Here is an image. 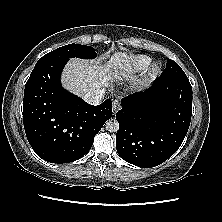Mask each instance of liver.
I'll return each mask as SVG.
<instances>
[{"label": "liver", "instance_id": "obj_1", "mask_svg": "<svg viewBox=\"0 0 222 222\" xmlns=\"http://www.w3.org/2000/svg\"><path fill=\"white\" fill-rule=\"evenodd\" d=\"M131 57L116 52L102 65L99 60L70 59L62 72V85L70 92L83 97L92 90L107 86L115 78L128 77L132 72Z\"/></svg>", "mask_w": 222, "mask_h": 222}]
</instances>
